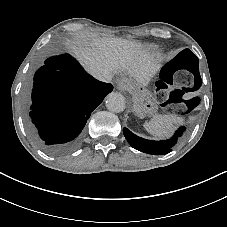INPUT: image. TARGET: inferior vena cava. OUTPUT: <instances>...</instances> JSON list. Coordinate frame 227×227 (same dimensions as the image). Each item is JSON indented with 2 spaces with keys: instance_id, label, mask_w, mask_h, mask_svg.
<instances>
[{
  "instance_id": "1",
  "label": "inferior vena cava",
  "mask_w": 227,
  "mask_h": 227,
  "mask_svg": "<svg viewBox=\"0 0 227 227\" xmlns=\"http://www.w3.org/2000/svg\"><path fill=\"white\" fill-rule=\"evenodd\" d=\"M97 80L110 83L113 78V73L111 71H105L102 74L94 76Z\"/></svg>"
}]
</instances>
